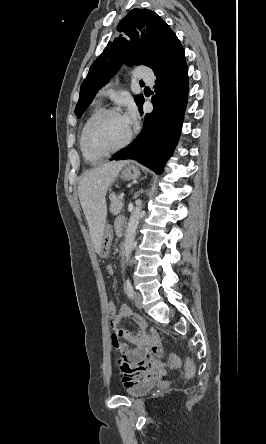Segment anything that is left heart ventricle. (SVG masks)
<instances>
[{
	"mask_svg": "<svg viewBox=\"0 0 266 444\" xmlns=\"http://www.w3.org/2000/svg\"><path fill=\"white\" fill-rule=\"evenodd\" d=\"M131 127L122 115H106L90 129L88 144L96 151L119 146L129 134Z\"/></svg>",
	"mask_w": 266,
	"mask_h": 444,
	"instance_id": "obj_1",
	"label": "left heart ventricle"
}]
</instances>
